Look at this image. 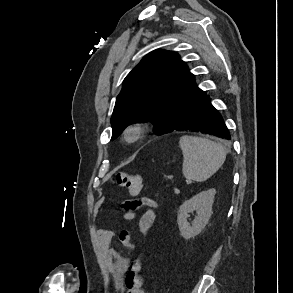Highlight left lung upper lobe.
Masks as SVG:
<instances>
[{"label":"left lung upper lobe","instance_id":"1","mask_svg":"<svg viewBox=\"0 0 293 293\" xmlns=\"http://www.w3.org/2000/svg\"><path fill=\"white\" fill-rule=\"evenodd\" d=\"M203 94L177 53L153 51L123 81L111 117V140L128 125L147 121L157 135L172 132L187 105Z\"/></svg>","mask_w":293,"mask_h":293}]
</instances>
